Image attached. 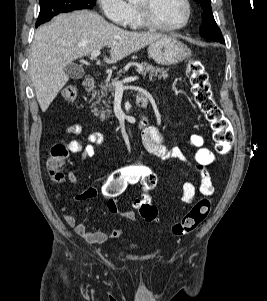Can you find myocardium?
I'll use <instances>...</instances> for the list:
<instances>
[{"mask_svg": "<svg viewBox=\"0 0 267 301\" xmlns=\"http://www.w3.org/2000/svg\"><path fill=\"white\" fill-rule=\"evenodd\" d=\"M153 2H154V0H145L143 5H141V6L135 5V9L137 11L139 20L145 27L154 29V30H158V31L169 32V31L180 30V29L184 28L185 26H187V24L190 22V19L192 16V7H191L190 0H183L185 7H186V15H185L184 20L177 25H164V24H161L160 22H158L151 15V12H150V7Z\"/></svg>", "mask_w": 267, "mask_h": 301, "instance_id": "f54148a6", "label": "myocardium"}]
</instances>
